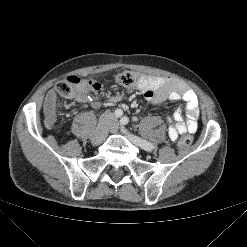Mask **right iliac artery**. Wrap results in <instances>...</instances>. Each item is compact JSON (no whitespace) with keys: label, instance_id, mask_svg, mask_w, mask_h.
Here are the masks:
<instances>
[{"label":"right iliac artery","instance_id":"obj_1","mask_svg":"<svg viewBox=\"0 0 247 247\" xmlns=\"http://www.w3.org/2000/svg\"><path fill=\"white\" fill-rule=\"evenodd\" d=\"M114 114H115L116 117H121L123 112H122L121 109H117V110H115Z\"/></svg>","mask_w":247,"mask_h":247}]
</instances>
